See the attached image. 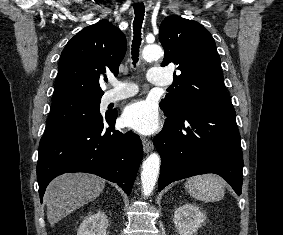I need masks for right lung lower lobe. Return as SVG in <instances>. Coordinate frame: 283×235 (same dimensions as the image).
Masks as SVG:
<instances>
[{
	"label": "right lung lower lobe",
	"instance_id": "98d812e1",
	"mask_svg": "<svg viewBox=\"0 0 283 235\" xmlns=\"http://www.w3.org/2000/svg\"><path fill=\"white\" fill-rule=\"evenodd\" d=\"M117 112L44 135L39 144L40 201L49 182L67 172H87L117 183L129 195L143 156L140 137L114 130Z\"/></svg>",
	"mask_w": 283,
	"mask_h": 235
}]
</instances>
